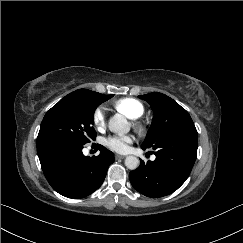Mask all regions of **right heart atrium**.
I'll use <instances>...</instances> for the list:
<instances>
[{
	"mask_svg": "<svg viewBox=\"0 0 243 243\" xmlns=\"http://www.w3.org/2000/svg\"><path fill=\"white\" fill-rule=\"evenodd\" d=\"M92 122L97 130H102L106 125L105 112L102 107H97L93 111Z\"/></svg>",
	"mask_w": 243,
	"mask_h": 243,
	"instance_id": "d8ad5b80",
	"label": "right heart atrium"
}]
</instances>
